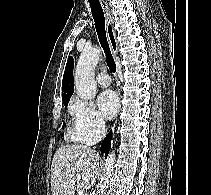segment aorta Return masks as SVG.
Segmentation results:
<instances>
[{
    "label": "aorta",
    "mask_w": 211,
    "mask_h": 195,
    "mask_svg": "<svg viewBox=\"0 0 211 195\" xmlns=\"http://www.w3.org/2000/svg\"><path fill=\"white\" fill-rule=\"evenodd\" d=\"M101 56L99 48L84 50L77 62L75 69V88L77 95L82 100H91L96 96V82L94 79L95 67ZM115 153L111 152L104 164L103 174L97 190V195H104L108 188L109 179L114 170Z\"/></svg>",
    "instance_id": "1"
}]
</instances>
